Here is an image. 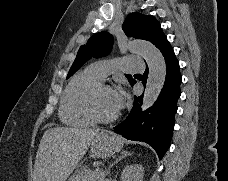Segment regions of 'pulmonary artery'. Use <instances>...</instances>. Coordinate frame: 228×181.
I'll return each instance as SVG.
<instances>
[{
	"mask_svg": "<svg viewBox=\"0 0 228 181\" xmlns=\"http://www.w3.org/2000/svg\"><path fill=\"white\" fill-rule=\"evenodd\" d=\"M139 60V57H120V62H125V67H129V71L145 70L144 66H137ZM88 68L86 74L94 75L100 80L105 79L107 75H111V71H121L123 69L119 62H93Z\"/></svg>",
	"mask_w": 228,
	"mask_h": 181,
	"instance_id": "pulmonary-artery-1",
	"label": "pulmonary artery"
}]
</instances>
